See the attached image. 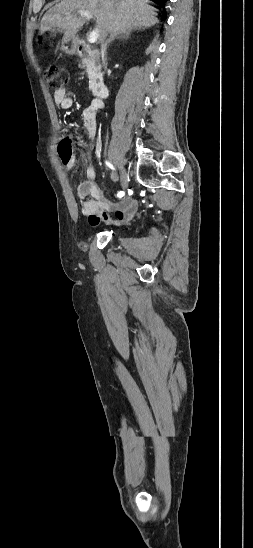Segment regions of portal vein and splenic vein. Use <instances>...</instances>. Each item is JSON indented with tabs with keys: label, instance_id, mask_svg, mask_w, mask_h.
<instances>
[{
	"label": "portal vein and splenic vein",
	"instance_id": "obj_1",
	"mask_svg": "<svg viewBox=\"0 0 253 548\" xmlns=\"http://www.w3.org/2000/svg\"><path fill=\"white\" fill-rule=\"evenodd\" d=\"M78 14L81 15L82 17H85L88 20L93 18L92 14L89 11H86V10H80V11H78ZM98 37H99L98 30L97 29L93 30L88 36V42L90 44H94L97 41Z\"/></svg>",
	"mask_w": 253,
	"mask_h": 548
}]
</instances>
